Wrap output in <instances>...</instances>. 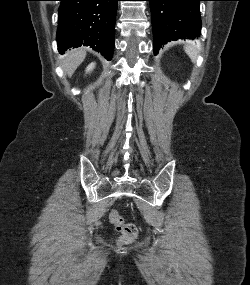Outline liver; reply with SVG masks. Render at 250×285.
<instances>
[{"label": "liver", "instance_id": "obj_1", "mask_svg": "<svg viewBox=\"0 0 250 285\" xmlns=\"http://www.w3.org/2000/svg\"><path fill=\"white\" fill-rule=\"evenodd\" d=\"M86 57L85 49H75L70 51L64 58L62 67L65 73L70 77L77 67L84 61Z\"/></svg>", "mask_w": 250, "mask_h": 285}]
</instances>
